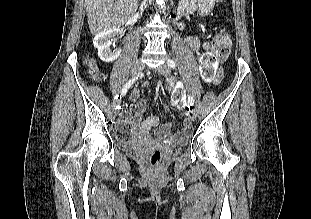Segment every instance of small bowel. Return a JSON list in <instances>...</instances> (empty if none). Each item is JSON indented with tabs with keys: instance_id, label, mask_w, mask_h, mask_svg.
Instances as JSON below:
<instances>
[{
	"instance_id": "small-bowel-1",
	"label": "small bowel",
	"mask_w": 311,
	"mask_h": 219,
	"mask_svg": "<svg viewBox=\"0 0 311 219\" xmlns=\"http://www.w3.org/2000/svg\"><path fill=\"white\" fill-rule=\"evenodd\" d=\"M190 43L196 50L199 42L197 39H191ZM220 82V76L214 78V83L217 85ZM183 94L179 93L176 95L177 100H181ZM131 108L126 109L123 114L120 115L118 120V131L121 136H131L137 134L142 138H146L150 135L153 128L159 127V133L165 138H175L178 141L185 140V138L191 133V129L188 122L184 123V130L177 133L174 136L169 134L170 124L161 125L162 115H152L143 119V114L146 109V101L140 100L137 91H133L130 97ZM130 115L132 117L130 118Z\"/></svg>"
}]
</instances>
